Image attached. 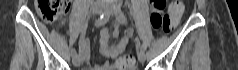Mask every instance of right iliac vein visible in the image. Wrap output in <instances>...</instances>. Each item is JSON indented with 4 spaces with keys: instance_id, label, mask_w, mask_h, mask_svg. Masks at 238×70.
<instances>
[{
    "instance_id": "right-iliac-vein-1",
    "label": "right iliac vein",
    "mask_w": 238,
    "mask_h": 70,
    "mask_svg": "<svg viewBox=\"0 0 238 70\" xmlns=\"http://www.w3.org/2000/svg\"><path fill=\"white\" fill-rule=\"evenodd\" d=\"M91 11L93 14L97 15L103 11V7L100 4H94L92 5ZM72 62L75 66H80L82 62V57L80 55H75L72 58Z\"/></svg>"
}]
</instances>
